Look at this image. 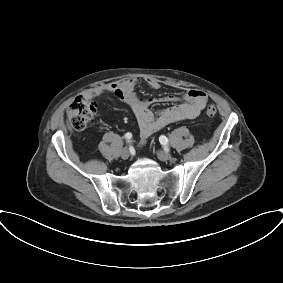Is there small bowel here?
I'll return each instance as SVG.
<instances>
[{
	"label": "small bowel",
	"mask_w": 283,
	"mask_h": 283,
	"mask_svg": "<svg viewBox=\"0 0 283 283\" xmlns=\"http://www.w3.org/2000/svg\"><path fill=\"white\" fill-rule=\"evenodd\" d=\"M138 81L137 78H130L107 83L85 91L83 96L93 98L105 94H113L127 104L137 118L140 129L139 146H144L150 135L167 125L197 117L208 100L206 93L197 89L186 91L182 97L169 95L161 98L143 99L135 93ZM146 84L155 90L160 88V83L153 78L147 79ZM159 102H175L176 104L155 114L150 107Z\"/></svg>",
	"instance_id": "1"
}]
</instances>
